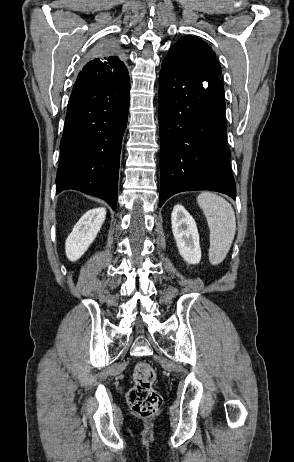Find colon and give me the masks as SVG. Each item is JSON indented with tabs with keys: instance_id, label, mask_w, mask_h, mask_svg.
Segmentation results:
<instances>
[{
	"instance_id": "1",
	"label": "colon",
	"mask_w": 294,
	"mask_h": 462,
	"mask_svg": "<svg viewBox=\"0 0 294 462\" xmlns=\"http://www.w3.org/2000/svg\"><path fill=\"white\" fill-rule=\"evenodd\" d=\"M133 379L134 386L127 396L130 408L141 417L153 416L162 405V396L153 388L154 368L147 362H140L134 369Z\"/></svg>"
}]
</instances>
